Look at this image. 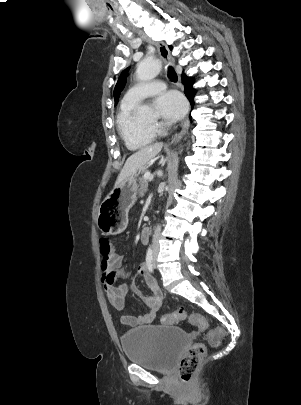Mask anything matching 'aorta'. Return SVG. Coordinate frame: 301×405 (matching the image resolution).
<instances>
[{
  "label": "aorta",
  "instance_id": "obj_1",
  "mask_svg": "<svg viewBox=\"0 0 301 405\" xmlns=\"http://www.w3.org/2000/svg\"><path fill=\"white\" fill-rule=\"evenodd\" d=\"M161 62L154 59H143L136 69V77L140 81H148L156 77L161 71ZM146 106L140 107V112H146Z\"/></svg>",
  "mask_w": 301,
  "mask_h": 405
}]
</instances>
